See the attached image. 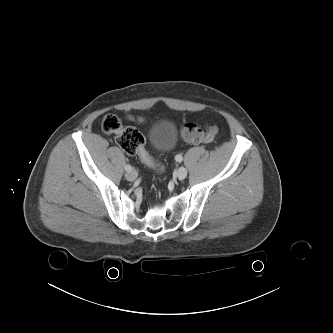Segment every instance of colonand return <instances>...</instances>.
Segmentation results:
<instances>
[{"mask_svg": "<svg viewBox=\"0 0 333 333\" xmlns=\"http://www.w3.org/2000/svg\"><path fill=\"white\" fill-rule=\"evenodd\" d=\"M102 130L105 134L114 135L117 144L129 155H135L148 167L162 171L145 148V138L134 127L123 128L120 119L114 114L106 115L102 120ZM218 134L215 124L207 125L201 129L194 123H185L181 128L182 138L190 143H201L213 140Z\"/></svg>", "mask_w": 333, "mask_h": 333, "instance_id": "5ec220e1", "label": "colon"}]
</instances>
